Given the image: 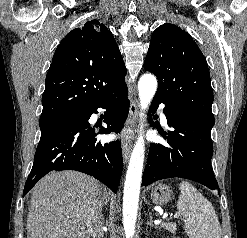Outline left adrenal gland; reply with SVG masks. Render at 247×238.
<instances>
[{
  "instance_id": "a2214340",
  "label": "left adrenal gland",
  "mask_w": 247,
  "mask_h": 238,
  "mask_svg": "<svg viewBox=\"0 0 247 238\" xmlns=\"http://www.w3.org/2000/svg\"><path fill=\"white\" fill-rule=\"evenodd\" d=\"M147 226H150V227H153V228H155V229H158L157 226H155V225L153 224V221H152V214H151V213L149 214V221L147 222Z\"/></svg>"
}]
</instances>
